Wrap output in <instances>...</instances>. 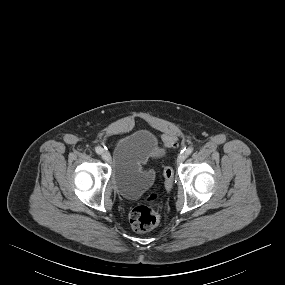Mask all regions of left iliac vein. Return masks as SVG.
I'll use <instances>...</instances> for the list:
<instances>
[{
  "instance_id": "4c4485c4",
  "label": "left iliac vein",
  "mask_w": 285,
  "mask_h": 285,
  "mask_svg": "<svg viewBox=\"0 0 285 285\" xmlns=\"http://www.w3.org/2000/svg\"><path fill=\"white\" fill-rule=\"evenodd\" d=\"M186 158H187V155L185 153L179 154L177 158V162L182 163L185 161Z\"/></svg>"
}]
</instances>
